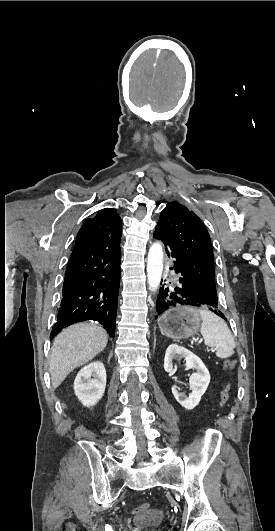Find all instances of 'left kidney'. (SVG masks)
<instances>
[{
    "label": "left kidney",
    "mask_w": 275,
    "mask_h": 531,
    "mask_svg": "<svg viewBox=\"0 0 275 531\" xmlns=\"http://www.w3.org/2000/svg\"><path fill=\"white\" fill-rule=\"evenodd\" d=\"M175 355H180V357H185L186 369H196L197 373H193L189 379V387L192 389L189 397H186L184 393H179L177 387H172L171 391L178 403L184 407V409H194L196 405H199L202 395H204L209 383H210V373L205 367L203 361L185 349V347H179V345H169L166 349L165 359H164V369L166 373H174L172 367V359Z\"/></svg>",
    "instance_id": "obj_1"
}]
</instances>
